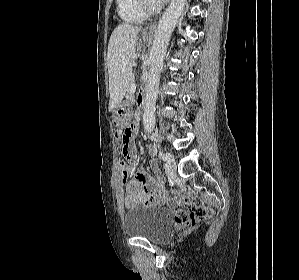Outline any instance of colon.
<instances>
[{
    "label": "colon",
    "instance_id": "obj_1",
    "mask_svg": "<svg viewBox=\"0 0 299 280\" xmlns=\"http://www.w3.org/2000/svg\"><path fill=\"white\" fill-rule=\"evenodd\" d=\"M133 130L129 127L125 130H119L116 133V139L121 155L124 160L121 162V179L126 181L132 173L135 160L132 151ZM213 214V211L201 204L198 198H192L187 202L186 208L173 209V217L175 222L181 226H195Z\"/></svg>",
    "mask_w": 299,
    "mask_h": 280
}]
</instances>
